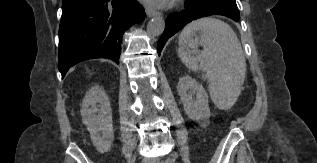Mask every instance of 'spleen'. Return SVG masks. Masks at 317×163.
Instances as JSON below:
<instances>
[{"instance_id":"1","label":"spleen","mask_w":317,"mask_h":163,"mask_svg":"<svg viewBox=\"0 0 317 163\" xmlns=\"http://www.w3.org/2000/svg\"><path fill=\"white\" fill-rule=\"evenodd\" d=\"M201 32L200 40L191 36ZM203 47L196 56L188 48ZM179 57L192 71L204 70L203 79L214 104L221 110L230 109L236 102L245 79L246 61L241 43L225 22L206 17L188 24L179 37Z\"/></svg>"}]
</instances>
